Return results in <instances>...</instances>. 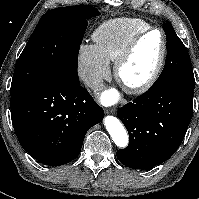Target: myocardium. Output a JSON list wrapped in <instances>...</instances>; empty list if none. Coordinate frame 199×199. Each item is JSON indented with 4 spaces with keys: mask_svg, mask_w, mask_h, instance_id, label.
<instances>
[{
    "mask_svg": "<svg viewBox=\"0 0 199 199\" xmlns=\"http://www.w3.org/2000/svg\"><path fill=\"white\" fill-rule=\"evenodd\" d=\"M157 32L161 35V53L158 59V62L152 71L151 75L143 82L136 84V85H127L122 81L121 78V70L124 64L128 61L130 56L132 55L133 51L135 50L136 46L139 44V42L148 36L149 34ZM167 50H168V43L165 33L157 27H150L140 33H138L136 36H134L129 43L125 46V48L122 50V52L119 54L117 59L114 63V76L117 82L122 86V88L130 94L138 95L143 94L147 92L159 79L160 74L163 70L166 56H167Z\"/></svg>",
    "mask_w": 199,
    "mask_h": 199,
    "instance_id": "obj_1",
    "label": "myocardium"
}]
</instances>
